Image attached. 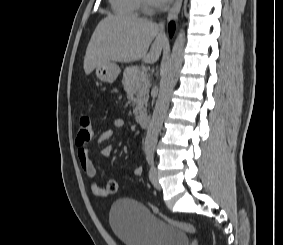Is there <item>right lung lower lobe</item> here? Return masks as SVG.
I'll return each mask as SVG.
<instances>
[{"label": "right lung lower lobe", "mask_w": 283, "mask_h": 245, "mask_svg": "<svg viewBox=\"0 0 283 245\" xmlns=\"http://www.w3.org/2000/svg\"><path fill=\"white\" fill-rule=\"evenodd\" d=\"M174 29H175V25H174V23H173V22H171V23L169 24V33H170V35H172V34H173Z\"/></svg>", "instance_id": "obj_1"}]
</instances>
